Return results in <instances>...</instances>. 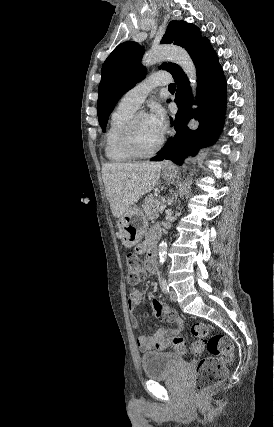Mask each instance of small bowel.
Instances as JSON below:
<instances>
[{"instance_id": "obj_1", "label": "small bowel", "mask_w": 274, "mask_h": 427, "mask_svg": "<svg viewBox=\"0 0 274 427\" xmlns=\"http://www.w3.org/2000/svg\"><path fill=\"white\" fill-rule=\"evenodd\" d=\"M160 233L159 227H154L149 235V238H147L143 243L140 244L139 250L140 252L146 251L147 247L155 241L156 237ZM158 266H153L149 263V261L146 262V272L148 275H153L156 273ZM143 303V296L139 289H133L130 291L128 298H127V306L128 309L131 312L130 316V322L131 326L134 330L138 332L136 342L139 350L143 353L150 352L156 348V344L165 338L174 337L180 334V332L184 329L185 322L184 320L178 316L176 313L174 317L170 320L172 322H175L177 324L176 328L173 329H167V328H161L159 329L153 336H146L140 331V325L137 317L133 314V312L138 309ZM167 300L166 299H153L152 300V307L153 311L149 313V318L152 320H159L160 319V313H165L167 310Z\"/></svg>"}]
</instances>
